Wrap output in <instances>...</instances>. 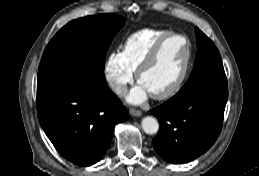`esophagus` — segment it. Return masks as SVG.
Segmentation results:
<instances>
[{
    "label": "esophagus",
    "instance_id": "34e87169",
    "mask_svg": "<svg viewBox=\"0 0 259 176\" xmlns=\"http://www.w3.org/2000/svg\"><path fill=\"white\" fill-rule=\"evenodd\" d=\"M129 113L135 117H140L142 115V112L140 110L134 108H130Z\"/></svg>",
    "mask_w": 259,
    "mask_h": 176
}]
</instances>
